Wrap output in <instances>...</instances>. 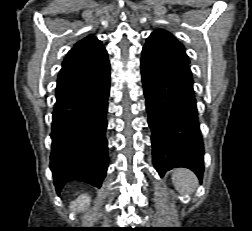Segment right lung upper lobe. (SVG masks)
<instances>
[{
  "instance_id": "1",
  "label": "right lung upper lobe",
  "mask_w": 252,
  "mask_h": 231,
  "mask_svg": "<svg viewBox=\"0 0 252 231\" xmlns=\"http://www.w3.org/2000/svg\"><path fill=\"white\" fill-rule=\"evenodd\" d=\"M108 71L110 62L105 47L94 35H89L78 41L64 58L55 95H63Z\"/></svg>"
}]
</instances>
